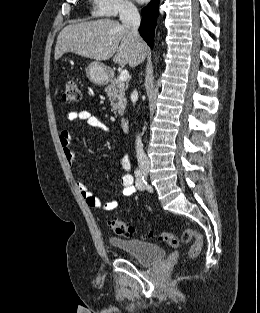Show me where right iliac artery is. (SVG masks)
Listing matches in <instances>:
<instances>
[{"label":"right iliac artery","instance_id":"right-iliac-artery-1","mask_svg":"<svg viewBox=\"0 0 260 313\" xmlns=\"http://www.w3.org/2000/svg\"><path fill=\"white\" fill-rule=\"evenodd\" d=\"M135 177H136V186L139 190H144L146 187V181L144 179V176H142V173L140 170L135 171Z\"/></svg>","mask_w":260,"mask_h":313}]
</instances>
